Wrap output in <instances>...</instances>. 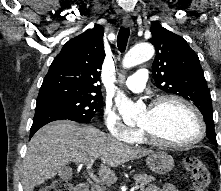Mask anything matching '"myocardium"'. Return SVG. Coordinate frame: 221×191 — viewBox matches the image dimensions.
<instances>
[{"label":"myocardium","instance_id":"1","mask_svg":"<svg viewBox=\"0 0 221 191\" xmlns=\"http://www.w3.org/2000/svg\"><path fill=\"white\" fill-rule=\"evenodd\" d=\"M169 101H174V102L181 104L192 113V115L195 117L197 124H198L197 136L194 139L187 141V142L171 143V142H166V141L159 139L151 131L143 127H140L139 129L142 135L144 136L145 140L153 146L161 147V148H168V149H186V148H190L200 143L205 137L206 125L199 110L185 98L178 96V95H174V94L161 95L152 101V103L149 106V110L154 111L158 109L163 103L169 102Z\"/></svg>","mask_w":221,"mask_h":191}]
</instances>
